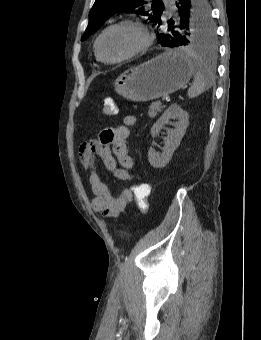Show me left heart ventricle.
Instances as JSON below:
<instances>
[{"mask_svg": "<svg viewBox=\"0 0 261 340\" xmlns=\"http://www.w3.org/2000/svg\"><path fill=\"white\" fill-rule=\"evenodd\" d=\"M142 42L140 32L129 25L109 30L101 39L99 50L102 57L115 59L135 50Z\"/></svg>", "mask_w": 261, "mask_h": 340, "instance_id": "b2bd125f", "label": "left heart ventricle"}]
</instances>
